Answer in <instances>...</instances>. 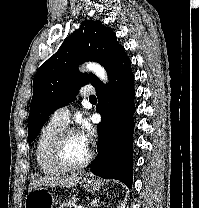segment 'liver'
Returning <instances> with one entry per match:
<instances>
[{
    "mask_svg": "<svg viewBox=\"0 0 199 208\" xmlns=\"http://www.w3.org/2000/svg\"><path fill=\"white\" fill-rule=\"evenodd\" d=\"M81 177L79 174L63 175V176H50V177H39L33 179L28 188V193L38 187H61L69 188L77 185Z\"/></svg>",
    "mask_w": 199,
    "mask_h": 208,
    "instance_id": "liver-1",
    "label": "liver"
}]
</instances>
